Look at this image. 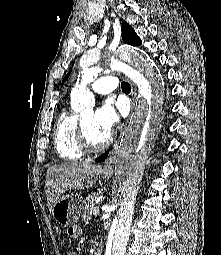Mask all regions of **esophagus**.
Listing matches in <instances>:
<instances>
[{
    "label": "esophagus",
    "mask_w": 221,
    "mask_h": 255,
    "mask_svg": "<svg viewBox=\"0 0 221 255\" xmlns=\"http://www.w3.org/2000/svg\"><path fill=\"white\" fill-rule=\"evenodd\" d=\"M131 88H132L131 89V98H132L131 114H132L133 108L135 106V98H136V94L137 93H136V88L134 87V85H132ZM131 114H130V117H131ZM128 120H127L126 124L128 123ZM118 147H119V140L113 146V149L110 151L109 156H108L107 160L105 161V163L103 165V171L104 172H110V173L113 172V168H114V163H115L116 156H117Z\"/></svg>",
    "instance_id": "34e87169"
}]
</instances>
